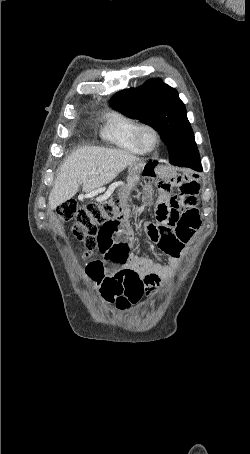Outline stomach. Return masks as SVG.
Segmentation results:
<instances>
[{
  "label": "stomach",
  "mask_w": 250,
  "mask_h": 454,
  "mask_svg": "<svg viewBox=\"0 0 250 454\" xmlns=\"http://www.w3.org/2000/svg\"><path fill=\"white\" fill-rule=\"evenodd\" d=\"M155 173H156V167L153 163L150 162V163H145L143 166L131 165L129 167L128 176H155Z\"/></svg>",
  "instance_id": "obj_1"
}]
</instances>
